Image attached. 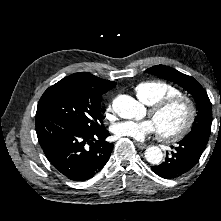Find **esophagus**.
Here are the masks:
<instances>
[{"instance_id":"1","label":"esophagus","mask_w":221,"mask_h":221,"mask_svg":"<svg viewBox=\"0 0 221 221\" xmlns=\"http://www.w3.org/2000/svg\"><path fill=\"white\" fill-rule=\"evenodd\" d=\"M136 146L139 148V149H145L147 147V145L145 143H141V142H137L136 143Z\"/></svg>"}]
</instances>
